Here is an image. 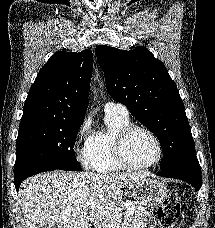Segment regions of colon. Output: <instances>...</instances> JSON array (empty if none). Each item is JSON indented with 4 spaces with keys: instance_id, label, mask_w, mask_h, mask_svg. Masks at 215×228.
<instances>
[{
    "instance_id": "obj_1",
    "label": "colon",
    "mask_w": 215,
    "mask_h": 228,
    "mask_svg": "<svg viewBox=\"0 0 215 228\" xmlns=\"http://www.w3.org/2000/svg\"><path fill=\"white\" fill-rule=\"evenodd\" d=\"M179 216V202L174 197L167 198L158 209L160 228H175Z\"/></svg>"
}]
</instances>
